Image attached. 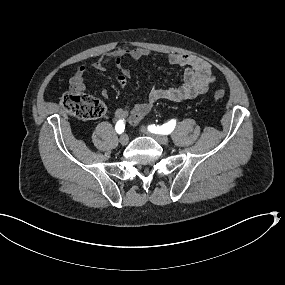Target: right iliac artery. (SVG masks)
<instances>
[{
    "label": "right iliac artery",
    "instance_id": "82829eb1",
    "mask_svg": "<svg viewBox=\"0 0 285 285\" xmlns=\"http://www.w3.org/2000/svg\"><path fill=\"white\" fill-rule=\"evenodd\" d=\"M125 129V123L124 120H119L116 125H115V130L118 134H121L122 132H124Z\"/></svg>",
    "mask_w": 285,
    "mask_h": 285
}]
</instances>
